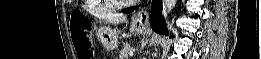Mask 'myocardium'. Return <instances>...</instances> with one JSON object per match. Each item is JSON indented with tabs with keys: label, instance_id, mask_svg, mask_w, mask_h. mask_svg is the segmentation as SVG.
Returning <instances> with one entry per match:
<instances>
[{
	"label": "myocardium",
	"instance_id": "1",
	"mask_svg": "<svg viewBox=\"0 0 261 59\" xmlns=\"http://www.w3.org/2000/svg\"><path fill=\"white\" fill-rule=\"evenodd\" d=\"M114 5L116 6V7H123V6H126V5H128V2H122V1H114Z\"/></svg>",
	"mask_w": 261,
	"mask_h": 59
}]
</instances>
